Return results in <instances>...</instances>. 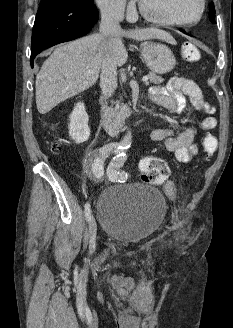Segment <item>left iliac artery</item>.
<instances>
[{
	"mask_svg": "<svg viewBox=\"0 0 233 328\" xmlns=\"http://www.w3.org/2000/svg\"><path fill=\"white\" fill-rule=\"evenodd\" d=\"M126 160V154L120 153L115 156L110 163L107 169V176L108 179L112 182H125L127 180V173L124 172L121 167L123 166Z\"/></svg>",
	"mask_w": 233,
	"mask_h": 328,
	"instance_id": "obj_1",
	"label": "left iliac artery"
}]
</instances>
